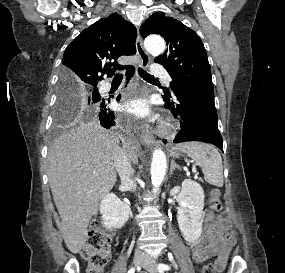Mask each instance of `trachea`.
<instances>
[{
    "label": "trachea",
    "mask_w": 285,
    "mask_h": 273,
    "mask_svg": "<svg viewBox=\"0 0 285 273\" xmlns=\"http://www.w3.org/2000/svg\"><path fill=\"white\" fill-rule=\"evenodd\" d=\"M138 73L144 80H158L157 78H155L152 75L148 74L147 72H145L141 68H138ZM122 78H123V74H121V73L116 74L115 77H114V79H122Z\"/></svg>",
    "instance_id": "trachea-1"
}]
</instances>
